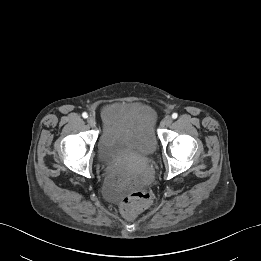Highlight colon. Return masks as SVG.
Returning <instances> with one entry per match:
<instances>
[{
    "label": "colon",
    "mask_w": 261,
    "mask_h": 261,
    "mask_svg": "<svg viewBox=\"0 0 261 261\" xmlns=\"http://www.w3.org/2000/svg\"><path fill=\"white\" fill-rule=\"evenodd\" d=\"M108 181L114 190L129 192L120 204V210L124 216L133 217L150 204L151 195L146 190L139 188V182L136 179L108 175Z\"/></svg>",
    "instance_id": "colon-1"
}]
</instances>
